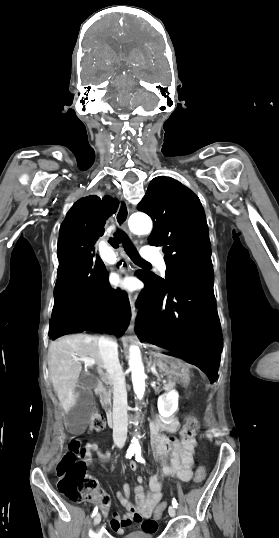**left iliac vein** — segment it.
<instances>
[{"instance_id": "4c4485c4", "label": "left iliac vein", "mask_w": 279, "mask_h": 538, "mask_svg": "<svg viewBox=\"0 0 279 538\" xmlns=\"http://www.w3.org/2000/svg\"><path fill=\"white\" fill-rule=\"evenodd\" d=\"M168 512L171 517H174L176 515V510L173 506L169 507Z\"/></svg>"}]
</instances>
